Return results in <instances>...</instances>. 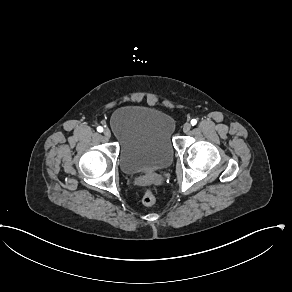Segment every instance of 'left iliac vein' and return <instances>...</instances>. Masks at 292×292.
<instances>
[{"label": "left iliac vein", "mask_w": 292, "mask_h": 292, "mask_svg": "<svg viewBox=\"0 0 292 292\" xmlns=\"http://www.w3.org/2000/svg\"><path fill=\"white\" fill-rule=\"evenodd\" d=\"M190 129H191V124L190 123H185L184 125H183V132L184 133H188L189 131H190Z\"/></svg>", "instance_id": "obj_1"}]
</instances>
